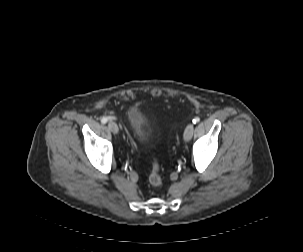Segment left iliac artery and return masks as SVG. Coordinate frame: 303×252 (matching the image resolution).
I'll return each instance as SVG.
<instances>
[{"mask_svg":"<svg viewBox=\"0 0 303 252\" xmlns=\"http://www.w3.org/2000/svg\"><path fill=\"white\" fill-rule=\"evenodd\" d=\"M199 121H200V118H199V117H195V118L192 120V122H193L194 124L198 123Z\"/></svg>","mask_w":303,"mask_h":252,"instance_id":"left-iliac-artery-1","label":"left iliac artery"}]
</instances>
